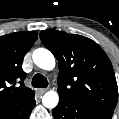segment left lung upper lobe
Returning <instances> with one entry per match:
<instances>
[{
  "label": "left lung upper lobe",
  "instance_id": "obj_1",
  "mask_svg": "<svg viewBox=\"0 0 119 119\" xmlns=\"http://www.w3.org/2000/svg\"><path fill=\"white\" fill-rule=\"evenodd\" d=\"M40 38L58 60V93L83 107L114 111L118 88L112 64L93 40L58 30H42Z\"/></svg>",
  "mask_w": 119,
  "mask_h": 119
}]
</instances>
